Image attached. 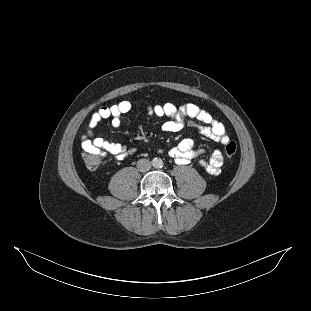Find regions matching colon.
<instances>
[{"mask_svg": "<svg viewBox=\"0 0 311 311\" xmlns=\"http://www.w3.org/2000/svg\"><path fill=\"white\" fill-rule=\"evenodd\" d=\"M225 154L228 158L234 157L237 151L235 142L230 141L225 145ZM82 157L87 168L94 170L97 169L102 161V156L99 151L83 150Z\"/></svg>", "mask_w": 311, "mask_h": 311, "instance_id": "1", "label": "colon"}]
</instances>
